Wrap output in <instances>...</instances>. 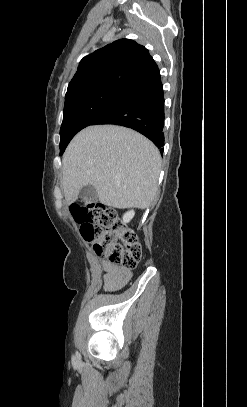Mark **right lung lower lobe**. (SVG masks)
Instances as JSON below:
<instances>
[{
    "label": "right lung lower lobe",
    "instance_id": "1",
    "mask_svg": "<svg viewBox=\"0 0 247 407\" xmlns=\"http://www.w3.org/2000/svg\"><path fill=\"white\" fill-rule=\"evenodd\" d=\"M95 124H116L134 129L149 138L163 153L164 93L160 75L136 89Z\"/></svg>",
    "mask_w": 247,
    "mask_h": 407
}]
</instances>
